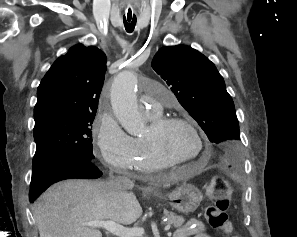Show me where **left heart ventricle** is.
I'll use <instances>...</instances> for the list:
<instances>
[{
    "instance_id": "1",
    "label": "left heart ventricle",
    "mask_w": 297,
    "mask_h": 237,
    "mask_svg": "<svg viewBox=\"0 0 297 237\" xmlns=\"http://www.w3.org/2000/svg\"><path fill=\"white\" fill-rule=\"evenodd\" d=\"M150 124L143 137L152 133ZM155 139L163 151L174 159L192 158L199 150L195 136L184 125H168L155 134Z\"/></svg>"
}]
</instances>
